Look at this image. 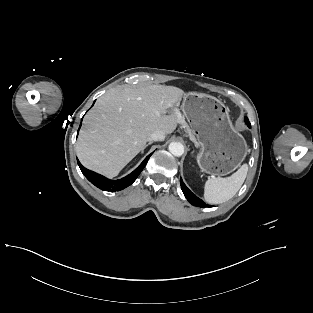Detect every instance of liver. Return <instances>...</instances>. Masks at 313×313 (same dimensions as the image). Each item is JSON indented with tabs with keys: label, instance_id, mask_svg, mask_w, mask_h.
I'll use <instances>...</instances> for the list:
<instances>
[{
	"label": "liver",
	"instance_id": "liver-1",
	"mask_svg": "<svg viewBox=\"0 0 313 313\" xmlns=\"http://www.w3.org/2000/svg\"><path fill=\"white\" fill-rule=\"evenodd\" d=\"M183 94L177 87L164 85L108 90L83 120L76 143L80 162L110 178L117 176L144 148L151 133L171 134L184 122L178 109Z\"/></svg>",
	"mask_w": 313,
	"mask_h": 313
}]
</instances>
